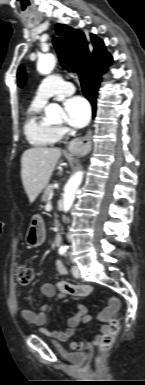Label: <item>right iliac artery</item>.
Returning <instances> with one entry per match:
<instances>
[{
	"mask_svg": "<svg viewBox=\"0 0 145 385\" xmlns=\"http://www.w3.org/2000/svg\"><path fill=\"white\" fill-rule=\"evenodd\" d=\"M59 253H60L61 255H64V254H65V251H64V250H60Z\"/></svg>",
	"mask_w": 145,
	"mask_h": 385,
	"instance_id": "obj_1",
	"label": "right iliac artery"
}]
</instances>
